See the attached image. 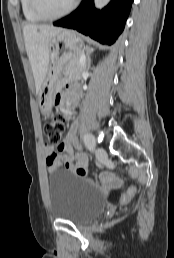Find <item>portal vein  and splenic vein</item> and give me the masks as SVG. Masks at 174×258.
<instances>
[{
	"instance_id": "18ae733b",
	"label": "portal vein and splenic vein",
	"mask_w": 174,
	"mask_h": 258,
	"mask_svg": "<svg viewBox=\"0 0 174 258\" xmlns=\"http://www.w3.org/2000/svg\"><path fill=\"white\" fill-rule=\"evenodd\" d=\"M84 61H85V57H84V56H82V57L80 58L79 63H84Z\"/></svg>"
}]
</instances>
